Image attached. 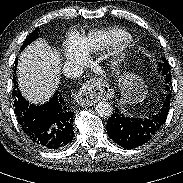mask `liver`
<instances>
[{"label":"liver","instance_id":"6515ba94","mask_svg":"<svg viewBox=\"0 0 183 183\" xmlns=\"http://www.w3.org/2000/svg\"><path fill=\"white\" fill-rule=\"evenodd\" d=\"M60 57L41 38L30 44L20 56L17 67L22 95L33 104L43 103L59 82Z\"/></svg>","mask_w":183,"mask_h":183}]
</instances>
